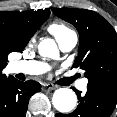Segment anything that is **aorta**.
Listing matches in <instances>:
<instances>
[{"label":"aorta","mask_w":117,"mask_h":117,"mask_svg":"<svg viewBox=\"0 0 117 117\" xmlns=\"http://www.w3.org/2000/svg\"><path fill=\"white\" fill-rule=\"evenodd\" d=\"M39 54L43 57L56 59L59 55L57 45L53 39H44L39 44ZM77 103V96L69 88H59L55 90L52 97V104L61 113L71 112Z\"/></svg>","instance_id":"1"}]
</instances>
